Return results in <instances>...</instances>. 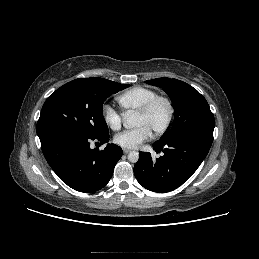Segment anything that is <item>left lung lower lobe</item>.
<instances>
[{
    "label": "left lung lower lobe",
    "instance_id": "left-lung-lower-lobe-1",
    "mask_svg": "<svg viewBox=\"0 0 259 259\" xmlns=\"http://www.w3.org/2000/svg\"><path fill=\"white\" fill-rule=\"evenodd\" d=\"M212 139L186 134L168 140H158L153 149L163 156L153 160L150 153L139 152L134 174L144 188L154 192H169L186 182L209 152Z\"/></svg>",
    "mask_w": 259,
    "mask_h": 259
}]
</instances>
